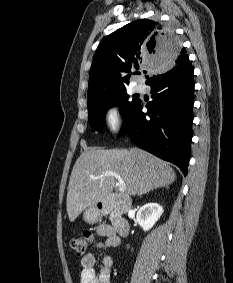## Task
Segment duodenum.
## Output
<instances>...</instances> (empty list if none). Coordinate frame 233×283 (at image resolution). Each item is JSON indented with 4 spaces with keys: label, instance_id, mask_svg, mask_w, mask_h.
<instances>
[{
    "label": "duodenum",
    "instance_id": "1",
    "mask_svg": "<svg viewBox=\"0 0 233 283\" xmlns=\"http://www.w3.org/2000/svg\"><path fill=\"white\" fill-rule=\"evenodd\" d=\"M128 209V201L124 196L114 195L98 204L101 214H111V227L116 235L125 236L129 231V224L122 216Z\"/></svg>",
    "mask_w": 233,
    "mask_h": 283
}]
</instances>
